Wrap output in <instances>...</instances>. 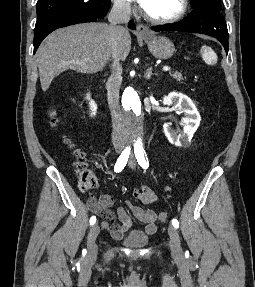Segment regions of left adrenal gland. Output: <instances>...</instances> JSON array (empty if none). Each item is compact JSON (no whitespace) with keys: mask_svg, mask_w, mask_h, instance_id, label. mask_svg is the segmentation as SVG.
I'll list each match as a JSON object with an SVG mask.
<instances>
[{"mask_svg":"<svg viewBox=\"0 0 255 287\" xmlns=\"http://www.w3.org/2000/svg\"><path fill=\"white\" fill-rule=\"evenodd\" d=\"M151 76H153L152 68H149V70H147V72L145 74V78H147V80H150Z\"/></svg>","mask_w":255,"mask_h":287,"instance_id":"a2214340","label":"left adrenal gland"}]
</instances>
